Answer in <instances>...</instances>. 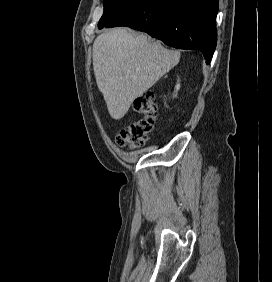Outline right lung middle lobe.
I'll return each instance as SVG.
<instances>
[{"instance_id":"right-lung-middle-lobe-1","label":"right lung middle lobe","mask_w":272,"mask_h":282,"mask_svg":"<svg viewBox=\"0 0 272 282\" xmlns=\"http://www.w3.org/2000/svg\"><path fill=\"white\" fill-rule=\"evenodd\" d=\"M136 0H104V13L98 23V28L102 29L107 23L117 17Z\"/></svg>"}]
</instances>
